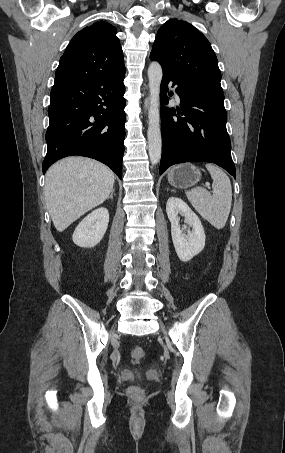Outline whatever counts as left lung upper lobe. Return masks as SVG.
Returning a JSON list of instances; mask_svg holds the SVG:
<instances>
[{"mask_svg": "<svg viewBox=\"0 0 285 453\" xmlns=\"http://www.w3.org/2000/svg\"><path fill=\"white\" fill-rule=\"evenodd\" d=\"M150 59L160 62L164 73L224 99L217 57L206 37L188 22L170 19L164 23Z\"/></svg>", "mask_w": 285, "mask_h": 453, "instance_id": "obj_1", "label": "left lung upper lobe"}]
</instances>
